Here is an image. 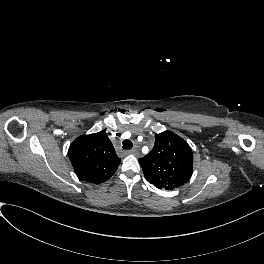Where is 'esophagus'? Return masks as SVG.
<instances>
[{"label": "esophagus", "mask_w": 264, "mask_h": 264, "mask_svg": "<svg viewBox=\"0 0 264 264\" xmlns=\"http://www.w3.org/2000/svg\"><path fill=\"white\" fill-rule=\"evenodd\" d=\"M136 150L135 149H133V150H128V151H126V154H136Z\"/></svg>", "instance_id": "esophagus-1"}]
</instances>
